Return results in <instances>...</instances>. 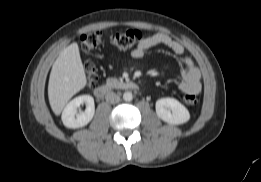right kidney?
<instances>
[{"mask_svg":"<svg viewBox=\"0 0 261 182\" xmlns=\"http://www.w3.org/2000/svg\"><path fill=\"white\" fill-rule=\"evenodd\" d=\"M86 104L84 112H78L81 104ZM95 113L94 99L90 95H81L71 100L62 112V122L67 128H80L87 125Z\"/></svg>","mask_w":261,"mask_h":182,"instance_id":"right-kidney-1","label":"right kidney"}]
</instances>
